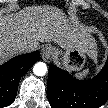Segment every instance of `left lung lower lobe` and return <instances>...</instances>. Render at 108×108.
Returning <instances> with one entry per match:
<instances>
[{"label": "left lung lower lobe", "instance_id": "0a47b994", "mask_svg": "<svg viewBox=\"0 0 108 108\" xmlns=\"http://www.w3.org/2000/svg\"><path fill=\"white\" fill-rule=\"evenodd\" d=\"M47 96L52 108H99L108 100V60L101 72L87 81L51 65Z\"/></svg>", "mask_w": 108, "mask_h": 108}]
</instances>
